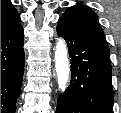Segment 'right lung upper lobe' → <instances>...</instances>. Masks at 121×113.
Masks as SVG:
<instances>
[{
    "label": "right lung upper lobe",
    "mask_w": 121,
    "mask_h": 113,
    "mask_svg": "<svg viewBox=\"0 0 121 113\" xmlns=\"http://www.w3.org/2000/svg\"><path fill=\"white\" fill-rule=\"evenodd\" d=\"M20 17L10 0H1V36L20 25Z\"/></svg>",
    "instance_id": "obj_1"
}]
</instances>
